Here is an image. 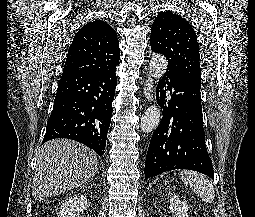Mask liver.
I'll use <instances>...</instances> for the list:
<instances>
[{
	"label": "liver",
	"instance_id": "obj_1",
	"mask_svg": "<svg viewBox=\"0 0 255 217\" xmlns=\"http://www.w3.org/2000/svg\"><path fill=\"white\" fill-rule=\"evenodd\" d=\"M97 165L96 153L79 142L48 141L37 154L33 197L42 200L81 186L94 176Z\"/></svg>",
	"mask_w": 255,
	"mask_h": 217
}]
</instances>
